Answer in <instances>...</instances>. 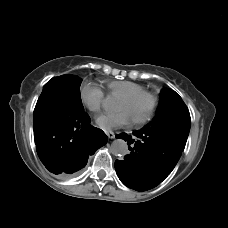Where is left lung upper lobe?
I'll return each mask as SVG.
<instances>
[{
  "label": "left lung upper lobe",
  "instance_id": "left-lung-upper-lobe-1",
  "mask_svg": "<svg viewBox=\"0 0 228 228\" xmlns=\"http://www.w3.org/2000/svg\"><path fill=\"white\" fill-rule=\"evenodd\" d=\"M190 114L181 97L169 88L162 89L157 114L144 128L169 130L171 133L188 134Z\"/></svg>",
  "mask_w": 228,
  "mask_h": 228
}]
</instances>
